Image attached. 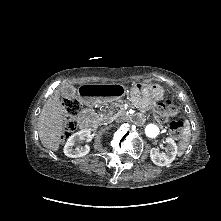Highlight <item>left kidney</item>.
<instances>
[{"label":"left kidney","mask_w":221,"mask_h":221,"mask_svg":"<svg viewBox=\"0 0 221 221\" xmlns=\"http://www.w3.org/2000/svg\"><path fill=\"white\" fill-rule=\"evenodd\" d=\"M167 144L166 153H160L157 149L152 148L150 150V158L152 162L157 166H166L171 164L177 156L178 150L175 141L168 137L165 140Z\"/></svg>","instance_id":"5707ae66"}]
</instances>
